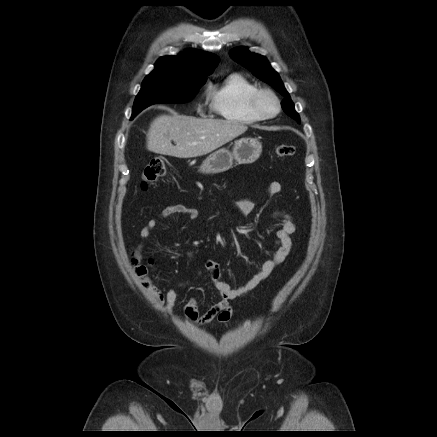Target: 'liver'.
I'll list each match as a JSON object with an SVG mask.
<instances>
[{
    "mask_svg": "<svg viewBox=\"0 0 437 437\" xmlns=\"http://www.w3.org/2000/svg\"><path fill=\"white\" fill-rule=\"evenodd\" d=\"M247 129L243 124L227 120L161 115L150 125L147 149L157 154L193 158L214 151Z\"/></svg>",
    "mask_w": 437,
    "mask_h": 437,
    "instance_id": "1",
    "label": "liver"
}]
</instances>
